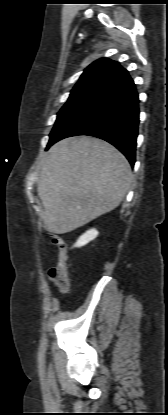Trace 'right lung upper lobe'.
<instances>
[{
	"label": "right lung upper lobe",
	"mask_w": 168,
	"mask_h": 415,
	"mask_svg": "<svg viewBox=\"0 0 168 415\" xmlns=\"http://www.w3.org/2000/svg\"><path fill=\"white\" fill-rule=\"evenodd\" d=\"M127 75V70L120 66L118 62L101 58L84 70L71 94L80 92L102 93Z\"/></svg>",
	"instance_id": "obj_1"
}]
</instances>
